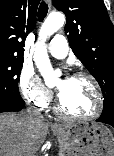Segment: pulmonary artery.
Returning a JSON list of instances; mask_svg holds the SVG:
<instances>
[{
  "label": "pulmonary artery",
  "instance_id": "obj_1",
  "mask_svg": "<svg viewBox=\"0 0 114 156\" xmlns=\"http://www.w3.org/2000/svg\"><path fill=\"white\" fill-rule=\"evenodd\" d=\"M69 51V45L66 38L60 34L56 35L48 45V52L55 58H64Z\"/></svg>",
  "mask_w": 114,
  "mask_h": 156
}]
</instances>
